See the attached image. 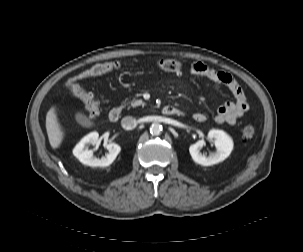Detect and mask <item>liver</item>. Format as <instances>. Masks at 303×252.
<instances>
[{"label":"liver","instance_id":"obj_1","mask_svg":"<svg viewBox=\"0 0 303 252\" xmlns=\"http://www.w3.org/2000/svg\"><path fill=\"white\" fill-rule=\"evenodd\" d=\"M46 130L50 145L54 149L58 148L63 141L64 132L62 131L61 125L58 122V118L55 113V108L50 109L47 114Z\"/></svg>","mask_w":303,"mask_h":252}]
</instances>
